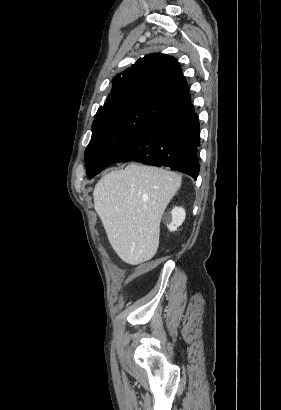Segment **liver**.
I'll use <instances>...</instances> for the list:
<instances>
[{
	"label": "liver",
	"instance_id": "1",
	"mask_svg": "<svg viewBox=\"0 0 281 410\" xmlns=\"http://www.w3.org/2000/svg\"><path fill=\"white\" fill-rule=\"evenodd\" d=\"M181 180L175 172L131 163L98 181L94 208L124 262L138 265L156 254L161 218Z\"/></svg>",
	"mask_w": 281,
	"mask_h": 410
}]
</instances>
